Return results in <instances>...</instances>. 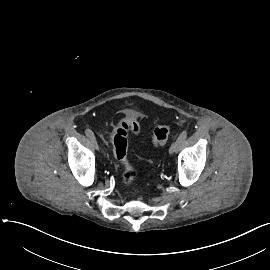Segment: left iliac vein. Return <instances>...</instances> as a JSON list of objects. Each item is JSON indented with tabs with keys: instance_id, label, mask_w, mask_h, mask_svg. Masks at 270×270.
Wrapping results in <instances>:
<instances>
[{
	"instance_id": "1",
	"label": "left iliac vein",
	"mask_w": 270,
	"mask_h": 270,
	"mask_svg": "<svg viewBox=\"0 0 270 270\" xmlns=\"http://www.w3.org/2000/svg\"><path fill=\"white\" fill-rule=\"evenodd\" d=\"M178 146H179L178 141L173 142L169 148V154L175 153L178 149Z\"/></svg>"
}]
</instances>
